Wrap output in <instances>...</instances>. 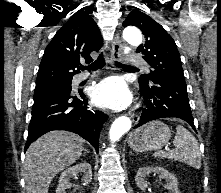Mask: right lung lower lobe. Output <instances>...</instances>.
I'll return each instance as SVG.
<instances>
[{"instance_id":"1","label":"right lung lower lobe","mask_w":221,"mask_h":193,"mask_svg":"<svg viewBox=\"0 0 221 193\" xmlns=\"http://www.w3.org/2000/svg\"><path fill=\"white\" fill-rule=\"evenodd\" d=\"M84 95L49 93L34 98L25 150L43 134L52 130L77 133L98 152L99 135L108 116L89 109Z\"/></svg>"}]
</instances>
